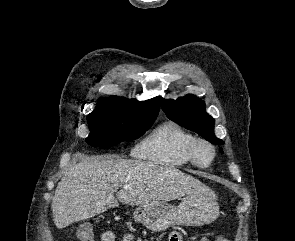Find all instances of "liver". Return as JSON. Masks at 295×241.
<instances>
[{"mask_svg":"<svg viewBox=\"0 0 295 241\" xmlns=\"http://www.w3.org/2000/svg\"><path fill=\"white\" fill-rule=\"evenodd\" d=\"M119 187L116 199L114 193ZM208 191L201 181L173 166L94 156L66 170L51 208L54 224L62 229L117 207L118 201L154 205Z\"/></svg>","mask_w":295,"mask_h":241,"instance_id":"1","label":"liver"}]
</instances>
